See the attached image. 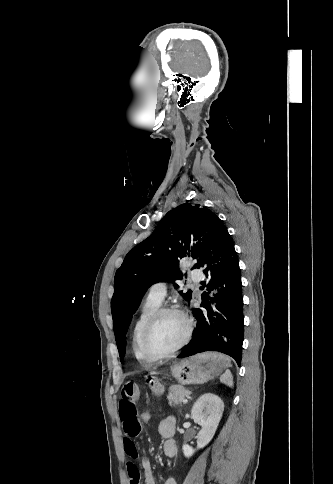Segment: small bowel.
Here are the masks:
<instances>
[{"label": "small bowel", "instance_id": "c3829d8e", "mask_svg": "<svg viewBox=\"0 0 333 484\" xmlns=\"http://www.w3.org/2000/svg\"><path fill=\"white\" fill-rule=\"evenodd\" d=\"M140 398L139 386L134 382H127L121 390V397L118 404L119 418L123 424L125 437L123 439L124 450L131 459L139 458V453L135 444V438L142 431V424L137 414V402ZM175 432V420L167 417L158 424V433L165 439L163 452L167 457L176 454V443L173 439ZM141 465L144 473L145 484H155L154 474L150 462L142 458ZM127 473L129 484H141L140 472L133 461L127 463ZM164 484H177L174 478H168Z\"/></svg>", "mask_w": 333, "mask_h": 484}]
</instances>
